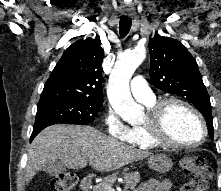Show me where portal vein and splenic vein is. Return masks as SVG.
<instances>
[{
	"label": "portal vein and splenic vein",
	"instance_id": "18ae733b",
	"mask_svg": "<svg viewBox=\"0 0 221 191\" xmlns=\"http://www.w3.org/2000/svg\"><path fill=\"white\" fill-rule=\"evenodd\" d=\"M108 191H115L111 186H108Z\"/></svg>",
	"mask_w": 221,
	"mask_h": 191
}]
</instances>
